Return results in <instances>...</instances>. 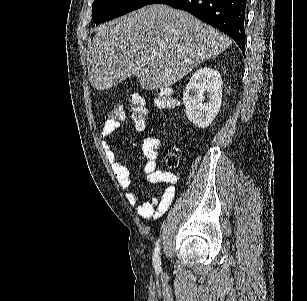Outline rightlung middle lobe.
Here are the masks:
<instances>
[{"label": "right lung middle lobe", "mask_w": 307, "mask_h": 301, "mask_svg": "<svg viewBox=\"0 0 307 301\" xmlns=\"http://www.w3.org/2000/svg\"><path fill=\"white\" fill-rule=\"evenodd\" d=\"M150 0H94L92 19L96 25L147 5Z\"/></svg>", "instance_id": "dd1d6c3e"}]
</instances>
